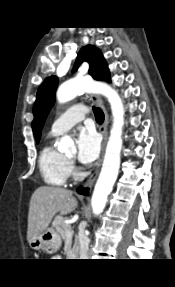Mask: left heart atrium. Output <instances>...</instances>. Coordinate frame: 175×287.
<instances>
[{
	"instance_id": "1",
	"label": "left heart atrium",
	"mask_w": 175,
	"mask_h": 287,
	"mask_svg": "<svg viewBox=\"0 0 175 287\" xmlns=\"http://www.w3.org/2000/svg\"><path fill=\"white\" fill-rule=\"evenodd\" d=\"M78 160L90 164L97 159L100 152V139L91 128L82 129L77 137Z\"/></svg>"
}]
</instances>
